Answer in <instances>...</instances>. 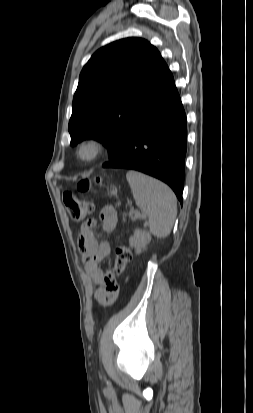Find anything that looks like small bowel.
<instances>
[{
	"mask_svg": "<svg viewBox=\"0 0 253 413\" xmlns=\"http://www.w3.org/2000/svg\"><path fill=\"white\" fill-rule=\"evenodd\" d=\"M101 228L110 233L115 230L118 215L109 205L104 206L99 215ZM95 222L84 223L78 235V248L84 261V268L92 282L97 286L95 297L102 303L104 309H111L116 304L120 294L117 273H104L99 264L111 253L108 241H97L94 233ZM104 286V287H103Z\"/></svg>",
	"mask_w": 253,
	"mask_h": 413,
	"instance_id": "small-bowel-1",
	"label": "small bowel"
}]
</instances>
